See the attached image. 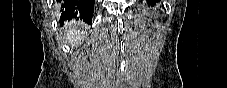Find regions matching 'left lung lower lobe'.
Listing matches in <instances>:
<instances>
[{
  "label": "left lung lower lobe",
  "mask_w": 227,
  "mask_h": 88,
  "mask_svg": "<svg viewBox=\"0 0 227 88\" xmlns=\"http://www.w3.org/2000/svg\"><path fill=\"white\" fill-rule=\"evenodd\" d=\"M147 2H148L149 4H153V5H154V4L156 3V0H149V1L147 0Z\"/></svg>",
  "instance_id": "1"
}]
</instances>
